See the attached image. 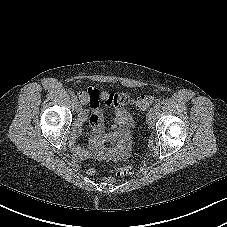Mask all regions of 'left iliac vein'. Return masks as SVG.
<instances>
[{"mask_svg": "<svg viewBox=\"0 0 227 227\" xmlns=\"http://www.w3.org/2000/svg\"><path fill=\"white\" fill-rule=\"evenodd\" d=\"M156 111H157L156 108L152 107L147 114L146 119H147V123L150 127H152L154 125Z\"/></svg>", "mask_w": 227, "mask_h": 227, "instance_id": "4c4485c4", "label": "left iliac vein"}]
</instances>
